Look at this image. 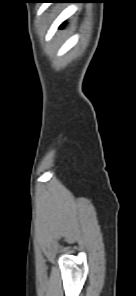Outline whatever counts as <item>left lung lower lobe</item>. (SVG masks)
I'll return each instance as SVG.
<instances>
[{"instance_id":"1","label":"left lung lower lobe","mask_w":136,"mask_h":296,"mask_svg":"<svg viewBox=\"0 0 136 296\" xmlns=\"http://www.w3.org/2000/svg\"><path fill=\"white\" fill-rule=\"evenodd\" d=\"M67 2H71V1H67V0H58V2H56V3H67ZM63 25H61L60 27H62Z\"/></svg>"}]
</instances>
